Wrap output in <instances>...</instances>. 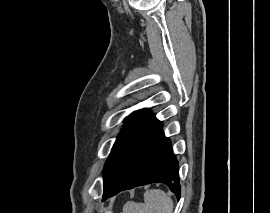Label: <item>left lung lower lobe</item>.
<instances>
[{
  "label": "left lung lower lobe",
  "instance_id": "left-lung-lower-lobe-1",
  "mask_svg": "<svg viewBox=\"0 0 270 213\" xmlns=\"http://www.w3.org/2000/svg\"><path fill=\"white\" fill-rule=\"evenodd\" d=\"M154 182L165 183L180 198L178 161L161 122L150 115L128 139L104 176L102 200Z\"/></svg>",
  "mask_w": 270,
  "mask_h": 213
}]
</instances>
